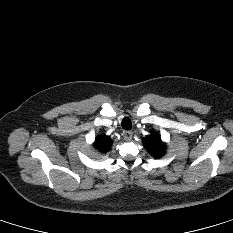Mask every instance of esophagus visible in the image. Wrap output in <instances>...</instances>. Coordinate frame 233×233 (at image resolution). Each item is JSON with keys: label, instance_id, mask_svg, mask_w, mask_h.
<instances>
[{"label": "esophagus", "instance_id": "obj_1", "mask_svg": "<svg viewBox=\"0 0 233 233\" xmlns=\"http://www.w3.org/2000/svg\"><path fill=\"white\" fill-rule=\"evenodd\" d=\"M133 133L131 131H125L123 133V137L125 141H131L132 140Z\"/></svg>", "mask_w": 233, "mask_h": 233}]
</instances>
